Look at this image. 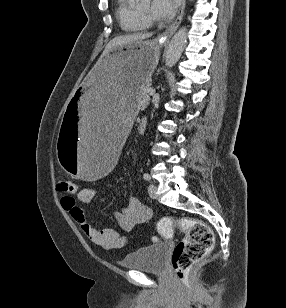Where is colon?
I'll return each mask as SVG.
<instances>
[{"mask_svg":"<svg viewBox=\"0 0 286 308\" xmlns=\"http://www.w3.org/2000/svg\"><path fill=\"white\" fill-rule=\"evenodd\" d=\"M58 193L72 198L76 184L70 180H59ZM174 228L185 233V237L176 245L172 254V266L178 280L186 284L189 269L198 262L214 245V233L204 222L190 217L177 219L162 218L158 222V231L166 239L173 236ZM157 241V238H153Z\"/></svg>","mask_w":286,"mask_h":308,"instance_id":"5ec220e1","label":"colon"}]
</instances>
